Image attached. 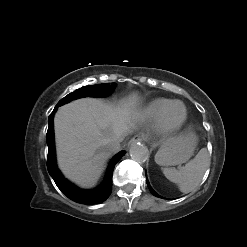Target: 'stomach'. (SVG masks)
Wrapping results in <instances>:
<instances>
[{"instance_id":"obj_1","label":"stomach","mask_w":247,"mask_h":247,"mask_svg":"<svg viewBox=\"0 0 247 247\" xmlns=\"http://www.w3.org/2000/svg\"><path fill=\"white\" fill-rule=\"evenodd\" d=\"M197 137L188 132L173 140L167 141L158 151L156 162L163 166H174L185 163L193 155Z\"/></svg>"}]
</instances>
